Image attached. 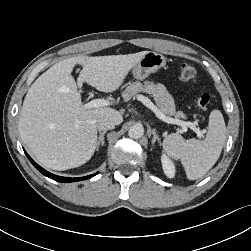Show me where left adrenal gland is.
Listing matches in <instances>:
<instances>
[{
    "label": "left adrenal gland",
    "mask_w": 251,
    "mask_h": 251,
    "mask_svg": "<svg viewBox=\"0 0 251 251\" xmlns=\"http://www.w3.org/2000/svg\"><path fill=\"white\" fill-rule=\"evenodd\" d=\"M151 134L153 135V139H152V144H154L156 141H158V143H160V138L159 135L157 134L155 129L150 130Z\"/></svg>",
    "instance_id": "a2214340"
}]
</instances>
